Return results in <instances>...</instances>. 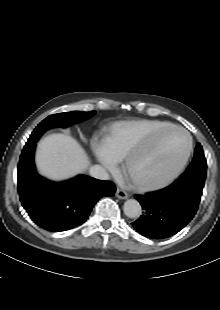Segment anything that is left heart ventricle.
I'll return each instance as SVG.
<instances>
[{"label":"left heart ventricle","mask_w":220,"mask_h":310,"mask_svg":"<svg viewBox=\"0 0 220 310\" xmlns=\"http://www.w3.org/2000/svg\"><path fill=\"white\" fill-rule=\"evenodd\" d=\"M187 147L188 139L184 133L167 130L157 138L150 151L135 159L131 166V173L140 180L160 181L179 165Z\"/></svg>","instance_id":"left-heart-ventricle-1"}]
</instances>
